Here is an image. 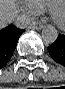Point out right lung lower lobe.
<instances>
[{
  "instance_id": "1",
  "label": "right lung lower lobe",
  "mask_w": 65,
  "mask_h": 89,
  "mask_svg": "<svg viewBox=\"0 0 65 89\" xmlns=\"http://www.w3.org/2000/svg\"><path fill=\"white\" fill-rule=\"evenodd\" d=\"M24 29L8 26L0 30V69L5 67L16 48L20 35Z\"/></svg>"
}]
</instances>
